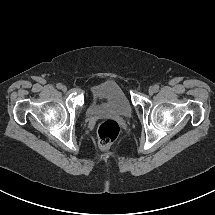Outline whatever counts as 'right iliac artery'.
<instances>
[{
    "label": "right iliac artery",
    "mask_w": 215,
    "mask_h": 215,
    "mask_svg": "<svg viewBox=\"0 0 215 215\" xmlns=\"http://www.w3.org/2000/svg\"><path fill=\"white\" fill-rule=\"evenodd\" d=\"M56 87H57L58 89H61V88H62V84H61V83H58V84L56 85Z\"/></svg>",
    "instance_id": "1"
}]
</instances>
